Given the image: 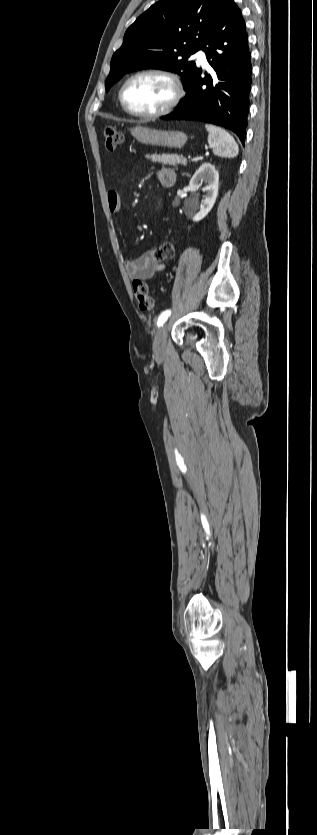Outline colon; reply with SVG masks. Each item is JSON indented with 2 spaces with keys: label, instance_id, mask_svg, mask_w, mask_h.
<instances>
[{
  "label": "colon",
  "instance_id": "colon-1",
  "mask_svg": "<svg viewBox=\"0 0 317 835\" xmlns=\"http://www.w3.org/2000/svg\"><path fill=\"white\" fill-rule=\"evenodd\" d=\"M105 146L109 150H114L122 142V134L113 127H107L103 133ZM155 259L170 260L176 255V246L172 242H165L160 246L151 250ZM133 292L135 298L142 310H151L154 306V301L148 293V287L144 281L135 279L132 282Z\"/></svg>",
  "mask_w": 317,
  "mask_h": 835
}]
</instances>
